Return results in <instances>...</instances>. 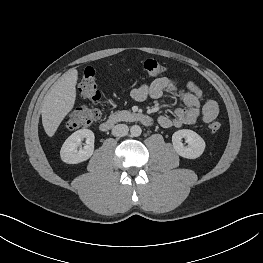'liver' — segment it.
Returning a JSON list of instances; mask_svg holds the SVG:
<instances>
[{
  "mask_svg": "<svg viewBox=\"0 0 263 263\" xmlns=\"http://www.w3.org/2000/svg\"><path fill=\"white\" fill-rule=\"evenodd\" d=\"M78 71L74 68L64 73L45 95L42 107V124L46 134L52 137L59 125L72 110L76 100Z\"/></svg>",
  "mask_w": 263,
  "mask_h": 263,
  "instance_id": "liver-1",
  "label": "liver"
}]
</instances>
